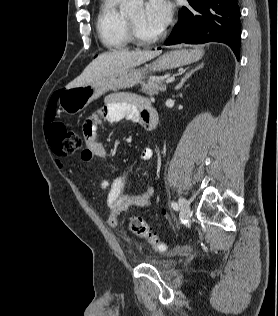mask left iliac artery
I'll return each instance as SVG.
<instances>
[{
  "instance_id": "obj_1",
  "label": "left iliac artery",
  "mask_w": 278,
  "mask_h": 316,
  "mask_svg": "<svg viewBox=\"0 0 278 316\" xmlns=\"http://www.w3.org/2000/svg\"><path fill=\"white\" fill-rule=\"evenodd\" d=\"M171 206L174 210H178L179 207H178V204L176 202H171Z\"/></svg>"
}]
</instances>
